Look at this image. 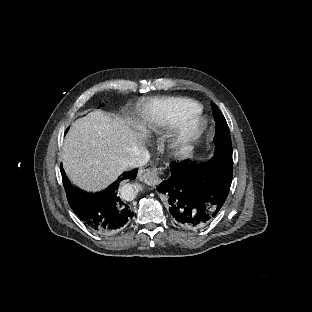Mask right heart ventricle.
<instances>
[{"label":"right heart ventricle","instance_id":"1","mask_svg":"<svg viewBox=\"0 0 312 312\" xmlns=\"http://www.w3.org/2000/svg\"><path fill=\"white\" fill-rule=\"evenodd\" d=\"M198 109V102L195 98L181 96L176 102H171L167 98H160L151 105V112L156 117H166L170 120H177L184 115H192Z\"/></svg>","mask_w":312,"mask_h":312}]
</instances>
